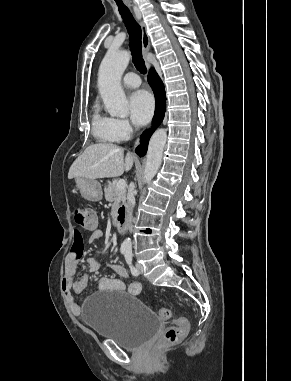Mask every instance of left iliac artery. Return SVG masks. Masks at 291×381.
Returning <instances> with one entry per match:
<instances>
[{
  "label": "left iliac artery",
  "instance_id": "left-iliac-artery-1",
  "mask_svg": "<svg viewBox=\"0 0 291 381\" xmlns=\"http://www.w3.org/2000/svg\"><path fill=\"white\" fill-rule=\"evenodd\" d=\"M124 256H125V260L130 268V271H131V274L134 275V276H137L138 275V271L137 269L134 267L133 263H132V257H133V254H132V251L130 250H127L124 252Z\"/></svg>",
  "mask_w": 291,
  "mask_h": 381
}]
</instances>
